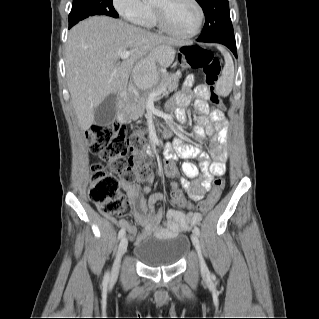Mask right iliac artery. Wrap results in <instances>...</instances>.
<instances>
[{
	"label": "right iliac artery",
	"instance_id": "82829eb1",
	"mask_svg": "<svg viewBox=\"0 0 319 319\" xmlns=\"http://www.w3.org/2000/svg\"><path fill=\"white\" fill-rule=\"evenodd\" d=\"M125 235V229H121L118 233L119 239L122 238ZM110 279V274L107 272L104 276V282L107 283Z\"/></svg>",
	"mask_w": 319,
	"mask_h": 319
}]
</instances>
